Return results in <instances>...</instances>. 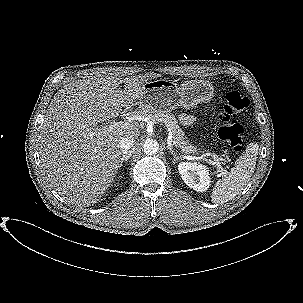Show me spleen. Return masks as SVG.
Instances as JSON below:
<instances>
[{"mask_svg": "<svg viewBox=\"0 0 303 303\" xmlns=\"http://www.w3.org/2000/svg\"><path fill=\"white\" fill-rule=\"evenodd\" d=\"M258 148L257 143H250L243 155L236 160L230 172L216 182L211 194L212 203L228 202L243 190L254 173Z\"/></svg>", "mask_w": 303, "mask_h": 303, "instance_id": "3e777b00", "label": "spleen"}]
</instances>
